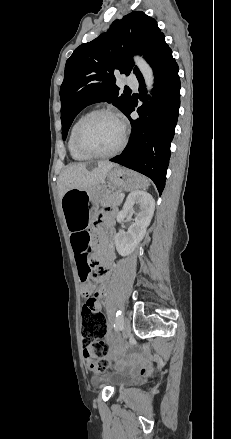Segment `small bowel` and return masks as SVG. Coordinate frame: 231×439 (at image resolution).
Instances as JSON below:
<instances>
[{
    "mask_svg": "<svg viewBox=\"0 0 231 439\" xmlns=\"http://www.w3.org/2000/svg\"><path fill=\"white\" fill-rule=\"evenodd\" d=\"M107 215L110 216V214ZM109 232L110 234L113 233L111 228H109ZM70 243L78 274L80 273V270L85 268L88 264H93L97 267L98 286H95L92 291L86 290L83 286V293L90 296L83 307L87 305L92 310L99 312L101 310V297L105 292L109 279L108 266L114 259L113 246L102 234H100L95 252L92 254L90 234L85 230L73 231L70 235ZM91 259H93V262Z\"/></svg>",
    "mask_w": 231,
    "mask_h": 439,
    "instance_id": "small-bowel-1",
    "label": "small bowel"
}]
</instances>
